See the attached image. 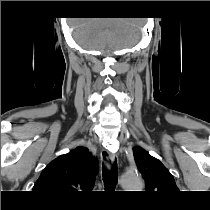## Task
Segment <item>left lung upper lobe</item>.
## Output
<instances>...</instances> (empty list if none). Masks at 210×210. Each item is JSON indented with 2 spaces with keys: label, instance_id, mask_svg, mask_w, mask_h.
Here are the masks:
<instances>
[{
  "label": "left lung upper lobe",
  "instance_id": "5c2ea615",
  "mask_svg": "<svg viewBox=\"0 0 210 210\" xmlns=\"http://www.w3.org/2000/svg\"><path fill=\"white\" fill-rule=\"evenodd\" d=\"M137 167L146 184V192L174 193L178 191L173 176L168 169L156 158L141 147L133 148Z\"/></svg>",
  "mask_w": 210,
  "mask_h": 210
}]
</instances>
